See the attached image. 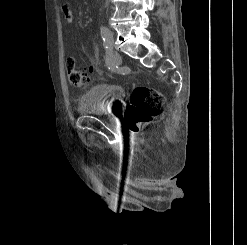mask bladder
Listing matches in <instances>:
<instances>
[{"label":"bladder","mask_w":247,"mask_h":245,"mask_svg":"<svg viewBox=\"0 0 247 245\" xmlns=\"http://www.w3.org/2000/svg\"><path fill=\"white\" fill-rule=\"evenodd\" d=\"M124 89L116 84L96 83L88 87L79 98V111L84 115L115 113L121 106Z\"/></svg>","instance_id":"obj_1"}]
</instances>
